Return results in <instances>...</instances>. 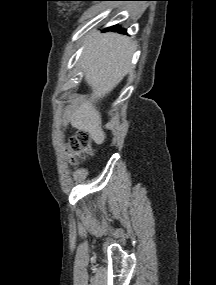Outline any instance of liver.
<instances>
[{"label": "liver", "instance_id": "liver-1", "mask_svg": "<svg viewBox=\"0 0 216 285\" xmlns=\"http://www.w3.org/2000/svg\"><path fill=\"white\" fill-rule=\"evenodd\" d=\"M132 53L133 44L129 39L116 33H105L91 39L82 54L85 81L93 93L89 100L72 111L69 120L75 128L89 132L97 144L103 143L106 136L95 104L109 94L127 74Z\"/></svg>", "mask_w": 216, "mask_h": 285}]
</instances>
